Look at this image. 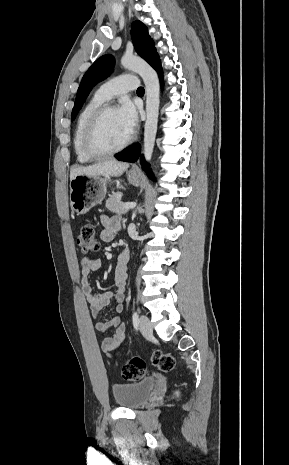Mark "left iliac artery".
<instances>
[{
	"instance_id": "44dca946",
	"label": "left iliac artery",
	"mask_w": 289,
	"mask_h": 465,
	"mask_svg": "<svg viewBox=\"0 0 289 465\" xmlns=\"http://www.w3.org/2000/svg\"><path fill=\"white\" fill-rule=\"evenodd\" d=\"M139 324V318H138V313L134 312L133 313V326L137 330Z\"/></svg>"
}]
</instances>
